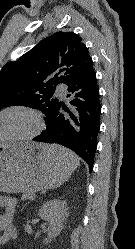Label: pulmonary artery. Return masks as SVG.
<instances>
[{"label": "pulmonary artery", "instance_id": "pulmonary-artery-1", "mask_svg": "<svg viewBox=\"0 0 135 249\" xmlns=\"http://www.w3.org/2000/svg\"><path fill=\"white\" fill-rule=\"evenodd\" d=\"M56 92L59 96L64 97L65 96V90L62 85H59L56 89Z\"/></svg>", "mask_w": 135, "mask_h": 249}]
</instances>
